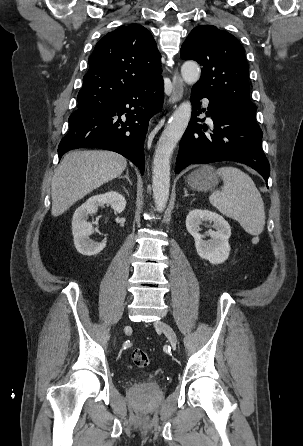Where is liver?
<instances>
[{
    "label": "liver",
    "mask_w": 303,
    "mask_h": 446,
    "mask_svg": "<svg viewBox=\"0 0 303 446\" xmlns=\"http://www.w3.org/2000/svg\"><path fill=\"white\" fill-rule=\"evenodd\" d=\"M126 166V159L112 151L69 152L52 179L51 214L62 215L79 199L121 175Z\"/></svg>",
    "instance_id": "liver-1"
}]
</instances>
